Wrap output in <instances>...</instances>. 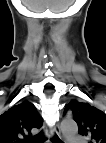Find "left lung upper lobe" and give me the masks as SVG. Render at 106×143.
Wrapping results in <instances>:
<instances>
[{
    "label": "left lung upper lobe",
    "instance_id": "1",
    "mask_svg": "<svg viewBox=\"0 0 106 143\" xmlns=\"http://www.w3.org/2000/svg\"><path fill=\"white\" fill-rule=\"evenodd\" d=\"M71 110L78 125V132L93 143H106V114L89 103L72 100L65 107Z\"/></svg>",
    "mask_w": 106,
    "mask_h": 143
}]
</instances>
